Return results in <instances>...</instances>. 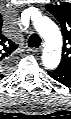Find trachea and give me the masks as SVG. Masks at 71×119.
<instances>
[{
    "mask_svg": "<svg viewBox=\"0 0 71 119\" xmlns=\"http://www.w3.org/2000/svg\"><path fill=\"white\" fill-rule=\"evenodd\" d=\"M41 44V38L37 34H32L28 39V46L38 48Z\"/></svg>",
    "mask_w": 71,
    "mask_h": 119,
    "instance_id": "3493384b",
    "label": "trachea"
}]
</instances>
